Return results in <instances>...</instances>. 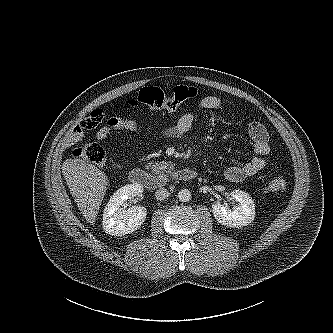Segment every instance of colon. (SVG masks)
Wrapping results in <instances>:
<instances>
[{"mask_svg":"<svg viewBox=\"0 0 333 333\" xmlns=\"http://www.w3.org/2000/svg\"><path fill=\"white\" fill-rule=\"evenodd\" d=\"M196 95V88L185 85L173 86L168 91L159 87H144L139 91L137 100L153 109L171 111ZM73 155L95 165H102L106 159L105 150L96 142H90L75 149ZM286 186V179L279 176L269 181L266 190L278 191L285 189Z\"/></svg>","mask_w":333,"mask_h":333,"instance_id":"obj_1","label":"colon"}]
</instances>
